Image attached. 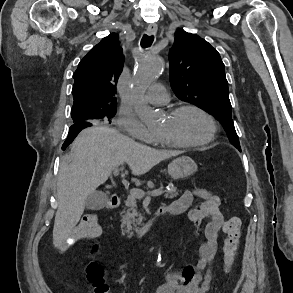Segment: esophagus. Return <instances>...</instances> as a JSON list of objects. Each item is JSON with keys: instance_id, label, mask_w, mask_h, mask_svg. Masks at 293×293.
I'll use <instances>...</instances> for the list:
<instances>
[{"instance_id": "obj_1", "label": "esophagus", "mask_w": 293, "mask_h": 293, "mask_svg": "<svg viewBox=\"0 0 293 293\" xmlns=\"http://www.w3.org/2000/svg\"><path fill=\"white\" fill-rule=\"evenodd\" d=\"M157 25L156 24H150L147 27V34L154 35L157 32Z\"/></svg>"}]
</instances>
